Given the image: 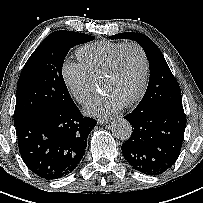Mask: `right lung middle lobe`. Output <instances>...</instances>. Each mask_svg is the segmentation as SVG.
I'll return each instance as SVG.
<instances>
[{"mask_svg": "<svg viewBox=\"0 0 203 203\" xmlns=\"http://www.w3.org/2000/svg\"><path fill=\"white\" fill-rule=\"evenodd\" d=\"M93 39L84 33L60 30L52 32L36 48L18 80L14 124L73 103L62 75L64 59L70 48Z\"/></svg>", "mask_w": 203, "mask_h": 203, "instance_id": "dd1d6c3e", "label": "right lung middle lobe"}]
</instances>
